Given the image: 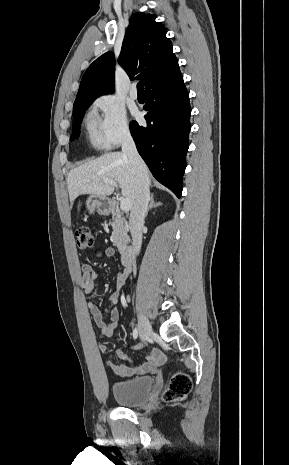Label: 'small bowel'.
I'll return each mask as SVG.
<instances>
[{"label": "small bowel", "mask_w": 289, "mask_h": 465, "mask_svg": "<svg viewBox=\"0 0 289 465\" xmlns=\"http://www.w3.org/2000/svg\"><path fill=\"white\" fill-rule=\"evenodd\" d=\"M94 255L97 258L107 257L111 259L114 257L115 251L113 248H107L105 250L96 249L94 251ZM81 270L82 276L79 281L80 286L83 288L86 294H90L94 290L98 274L93 269V267L87 263L82 265ZM129 274V269H125L124 271L118 272L117 274L116 291L108 299L112 305L108 320L104 319L103 314L96 303L89 301L87 304L89 312L92 315L96 325L98 326L100 334L102 336L110 337L113 334L114 329L118 325L119 310L117 308V305L119 303V298L122 294L123 287L128 280ZM99 350L101 353H106L107 346L105 344H100ZM117 354L118 357L122 359L125 363L116 364L114 362L109 361L108 366L115 374L123 377L152 372L164 362L165 358L162 351H160L159 349H154L150 353V355L145 359L144 362H142L139 365H132L130 359L124 352L119 350Z\"/></svg>", "instance_id": "small-bowel-1"}]
</instances>
